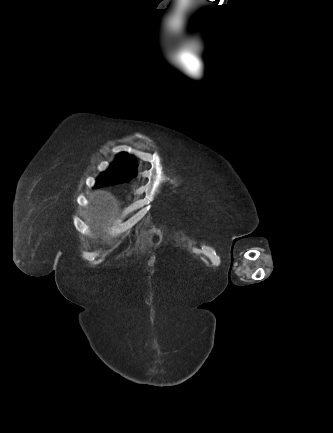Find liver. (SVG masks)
Instances as JSON below:
<instances>
[{"instance_id": "1", "label": "liver", "mask_w": 333, "mask_h": 433, "mask_svg": "<svg viewBox=\"0 0 333 433\" xmlns=\"http://www.w3.org/2000/svg\"><path fill=\"white\" fill-rule=\"evenodd\" d=\"M89 200L91 204L85 220L98 236L104 238V231L110 228L120 204L112 194L104 190L95 191ZM106 243L109 246L114 244L111 240Z\"/></svg>"}]
</instances>
